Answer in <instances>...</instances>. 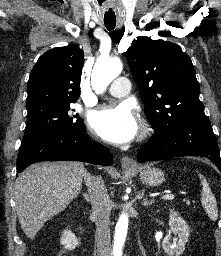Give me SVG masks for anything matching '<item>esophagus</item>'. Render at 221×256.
<instances>
[{
    "label": "esophagus",
    "instance_id": "1",
    "mask_svg": "<svg viewBox=\"0 0 221 256\" xmlns=\"http://www.w3.org/2000/svg\"><path fill=\"white\" fill-rule=\"evenodd\" d=\"M121 164H122L123 168H135L136 167L135 161L132 158H130L129 156L122 157Z\"/></svg>",
    "mask_w": 221,
    "mask_h": 256
}]
</instances>
